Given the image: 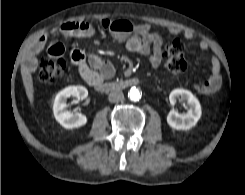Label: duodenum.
I'll list each match as a JSON object with an SVG mask.
<instances>
[{
    "instance_id": "obj_1",
    "label": "duodenum",
    "mask_w": 245,
    "mask_h": 195,
    "mask_svg": "<svg viewBox=\"0 0 245 195\" xmlns=\"http://www.w3.org/2000/svg\"><path fill=\"white\" fill-rule=\"evenodd\" d=\"M136 84H138V79L130 78L119 82H98L94 85V87L99 91L109 92V91L122 90L128 87H132Z\"/></svg>"
}]
</instances>
